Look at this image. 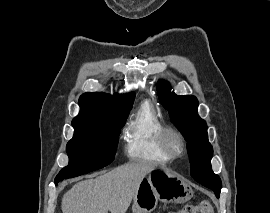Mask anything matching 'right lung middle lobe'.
<instances>
[{
	"mask_svg": "<svg viewBox=\"0 0 270 213\" xmlns=\"http://www.w3.org/2000/svg\"><path fill=\"white\" fill-rule=\"evenodd\" d=\"M129 112L108 120L73 121L74 136L67 143L68 166L55 178H66L100 169L114 160L120 128Z\"/></svg>",
	"mask_w": 270,
	"mask_h": 213,
	"instance_id": "1",
	"label": "right lung middle lobe"
}]
</instances>
